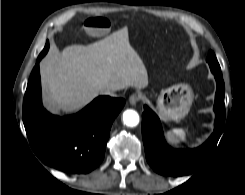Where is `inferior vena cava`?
<instances>
[{"label": "inferior vena cava", "mask_w": 245, "mask_h": 195, "mask_svg": "<svg viewBox=\"0 0 245 195\" xmlns=\"http://www.w3.org/2000/svg\"><path fill=\"white\" fill-rule=\"evenodd\" d=\"M101 94L109 95V96H112V97L116 96L115 91L114 90H110V89L101 90Z\"/></svg>", "instance_id": "1"}]
</instances>
